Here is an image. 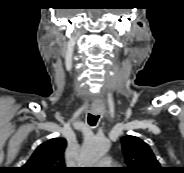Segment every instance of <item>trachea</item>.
I'll use <instances>...</instances> for the list:
<instances>
[{
    "instance_id": "obj_1",
    "label": "trachea",
    "mask_w": 184,
    "mask_h": 173,
    "mask_svg": "<svg viewBox=\"0 0 184 173\" xmlns=\"http://www.w3.org/2000/svg\"><path fill=\"white\" fill-rule=\"evenodd\" d=\"M98 119H99V115L88 114V124L90 126H95L98 122Z\"/></svg>"
}]
</instances>
